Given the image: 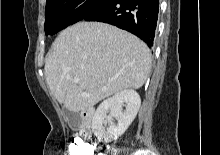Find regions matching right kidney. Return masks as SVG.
I'll return each instance as SVG.
<instances>
[{"label": "right kidney", "instance_id": "1", "mask_svg": "<svg viewBox=\"0 0 220 155\" xmlns=\"http://www.w3.org/2000/svg\"><path fill=\"white\" fill-rule=\"evenodd\" d=\"M141 105L139 94L134 90H123L112 98L105 100L97 108L93 120L92 131L98 139L106 143L116 140L124 134L135 119ZM123 106L125 110L123 111ZM110 111V115L107 113ZM113 118L117 123L113 122ZM108 127L105 129V126Z\"/></svg>", "mask_w": 220, "mask_h": 155}]
</instances>
